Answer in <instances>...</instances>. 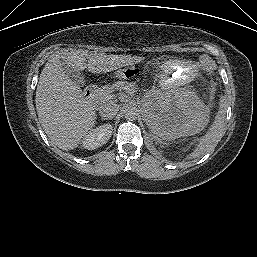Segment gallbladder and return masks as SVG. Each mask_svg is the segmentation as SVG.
Returning <instances> with one entry per match:
<instances>
[{
  "mask_svg": "<svg viewBox=\"0 0 257 257\" xmlns=\"http://www.w3.org/2000/svg\"><path fill=\"white\" fill-rule=\"evenodd\" d=\"M64 71L66 75L76 84L83 86L85 84V79L82 73L67 64L64 63Z\"/></svg>",
  "mask_w": 257,
  "mask_h": 257,
  "instance_id": "1",
  "label": "gallbladder"
}]
</instances>
